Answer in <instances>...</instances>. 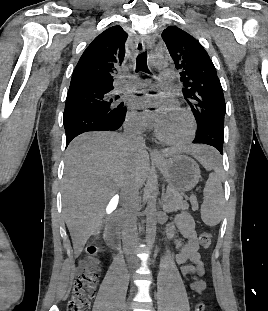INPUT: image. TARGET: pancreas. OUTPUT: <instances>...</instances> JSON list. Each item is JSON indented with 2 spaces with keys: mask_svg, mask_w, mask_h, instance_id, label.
<instances>
[{
  "mask_svg": "<svg viewBox=\"0 0 268 311\" xmlns=\"http://www.w3.org/2000/svg\"><path fill=\"white\" fill-rule=\"evenodd\" d=\"M163 210L166 213L177 212L179 210H187L189 208L188 203L183 200L182 194L168 189L162 197Z\"/></svg>",
  "mask_w": 268,
  "mask_h": 311,
  "instance_id": "obj_1",
  "label": "pancreas"
}]
</instances>
